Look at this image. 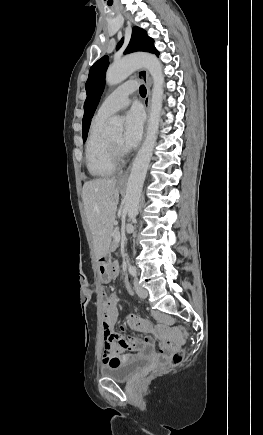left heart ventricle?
<instances>
[{"label":"left heart ventricle","instance_id":"left-heart-ventricle-1","mask_svg":"<svg viewBox=\"0 0 263 435\" xmlns=\"http://www.w3.org/2000/svg\"><path fill=\"white\" fill-rule=\"evenodd\" d=\"M109 139H110V140H111L115 145L121 146V142H122V135H121V134L113 135V136L109 137Z\"/></svg>","mask_w":263,"mask_h":435}]
</instances>
